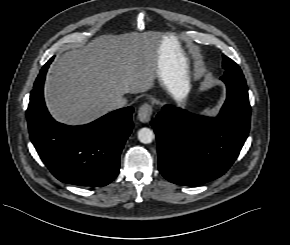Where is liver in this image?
<instances>
[{
  "label": "liver",
  "instance_id": "1",
  "mask_svg": "<svg viewBox=\"0 0 290 245\" xmlns=\"http://www.w3.org/2000/svg\"><path fill=\"white\" fill-rule=\"evenodd\" d=\"M159 77L175 99L188 93L187 59L174 35L160 41L138 33L104 35L54 62L45 101L59 122L84 124L114 110L116 98L151 89Z\"/></svg>",
  "mask_w": 290,
  "mask_h": 245
}]
</instances>
